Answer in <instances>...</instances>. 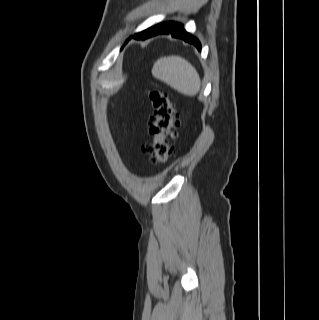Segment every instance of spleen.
I'll return each instance as SVG.
<instances>
[{
	"mask_svg": "<svg viewBox=\"0 0 319 320\" xmlns=\"http://www.w3.org/2000/svg\"><path fill=\"white\" fill-rule=\"evenodd\" d=\"M152 75L187 96L196 95L201 87L199 74L193 65L176 55L158 59L153 65Z\"/></svg>",
	"mask_w": 319,
	"mask_h": 320,
	"instance_id": "spleen-1",
	"label": "spleen"
}]
</instances>
